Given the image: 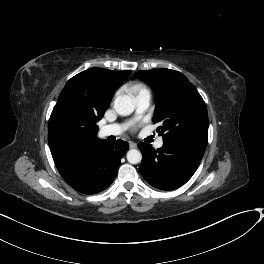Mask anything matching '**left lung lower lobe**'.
<instances>
[{"mask_svg":"<svg viewBox=\"0 0 264 264\" xmlns=\"http://www.w3.org/2000/svg\"><path fill=\"white\" fill-rule=\"evenodd\" d=\"M205 147L191 141H167L154 150L150 144L139 143L142 152L140 173L153 187L174 190L185 184L197 170Z\"/></svg>","mask_w":264,"mask_h":264,"instance_id":"1","label":"left lung lower lobe"}]
</instances>
